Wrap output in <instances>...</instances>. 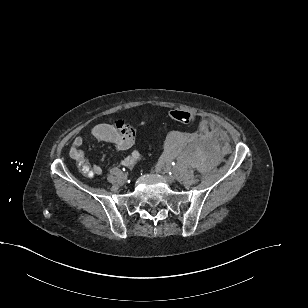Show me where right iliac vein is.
Segmentation results:
<instances>
[{
    "label": "right iliac vein",
    "mask_w": 308,
    "mask_h": 308,
    "mask_svg": "<svg viewBox=\"0 0 308 308\" xmlns=\"http://www.w3.org/2000/svg\"><path fill=\"white\" fill-rule=\"evenodd\" d=\"M124 178L126 179V178H127V175H124Z\"/></svg>",
    "instance_id": "1"
}]
</instances>
